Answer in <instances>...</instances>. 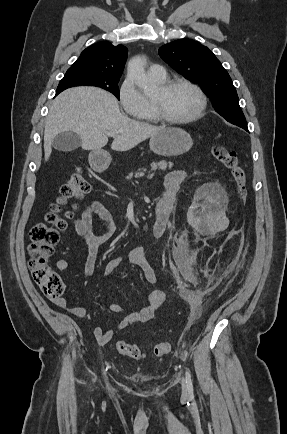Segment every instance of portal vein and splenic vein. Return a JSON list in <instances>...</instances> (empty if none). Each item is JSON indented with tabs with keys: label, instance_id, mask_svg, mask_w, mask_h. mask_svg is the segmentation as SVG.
<instances>
[{
	"label": "portal vein and splenic vein",
	"instance_id": "obj_1",
	"mask_svg": "<svg viewBox=\"0 0 287 434\" xmlns=\"http://www.w3.org/2000/svg\"><path fill=\"white\" fill-rule=\"evenodd\" d=\"M106 134H107L108 136H113V135H114L112 132H106Z\"/></svg>",
	"mask_w": 287,
	"mask_h": 434
}]
</instances>
